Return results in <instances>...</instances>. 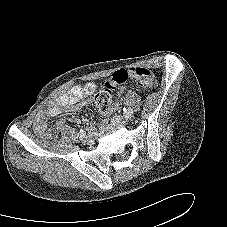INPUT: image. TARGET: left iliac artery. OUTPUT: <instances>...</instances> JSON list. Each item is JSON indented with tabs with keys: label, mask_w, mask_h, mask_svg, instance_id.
I'll return each instance as SVG.
<instances>
[{
	"label": "left iliac artery",
	"mask_w": 227,
	"mask_h": 227,
	"mask_svg": "<svg viewBox=\"0 0 227 227\" xmlns=\"http://www.w3.org/2000/svg\"><path fill=\"white\" fill-rule=\"evenodd\" d=\"M125 116H133V110L131 108H123Z\"/></svg>",
	"instance_id": "obj_1"
}]
</instances>
